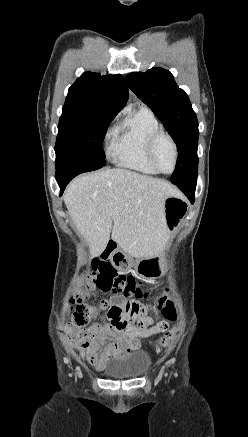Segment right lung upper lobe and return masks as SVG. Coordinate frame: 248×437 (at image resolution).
<instances>
[{"instance_id":"cb5924a9","label":"right lung upper lobe","mask_w":248,"mask_h":437,"mask_svg":"<svg viewBox=\"0 0 248 437\" xmlns=\"http://www.w3.org/2000/svg\"><path fill=\"white\" fill-rule=\"evenodd\" d=\"M129 93L121 75L85 72L69 88L62 111L87 116H116Z\"/></svg>"}]
</instances>
